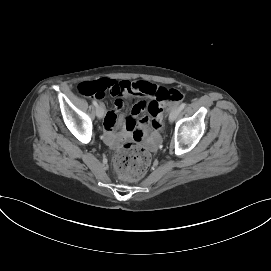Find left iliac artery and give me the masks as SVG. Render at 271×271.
Returning a JSON list of instances; mask_svg holds the SVG:
<instances>
[{"mask_svg": "<svg viewBox=\"0 0 271 271\" xmlns=\"http://www.w3.org/2000/svg\"><path fill=\"white\" fill-rule=\"evenodd\" d=\"M185 107H186V103H182V104L180 105V110H183Z\"/></svg>", "mask_w": 271, "mask_h": 271, "instance_id": "left-iliac-artery-1", "label": "left iliac artery"}]
</instances>
